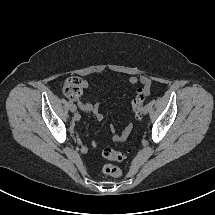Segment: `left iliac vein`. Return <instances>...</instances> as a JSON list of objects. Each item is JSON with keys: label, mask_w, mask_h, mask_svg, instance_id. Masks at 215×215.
<instances>
[{"label": "left iliac vein", "mask_w": 215, "mask_h": 215, "mask_svg": "<svg viewBox=\"0 0 215 215\" xmlns=\"http://www.w3.org/2000/svg\"><path fill=\"white\" fill-rule=\"evenodd\" d=\"M148 111H149V105H145V106L143 107L142 114H147Z\"/></svg>", "instance_id": "obj_1"}]
</instances>
